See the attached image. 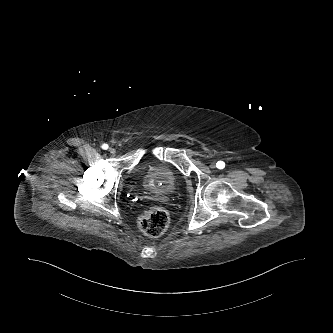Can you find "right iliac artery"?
<instances>
[{
	"label": "right iliac artery",
	"instance_id": "obj_1",
	"mask_svg": "<svg viewBox=\"0 0 333 333\" xmlns=\"http://www.w3.org/2000/svg\"><path fill=\"white\" fill-rule=\"evenodd\" d=\"M101 147H102V149L107 150L108 149V144L104 143Z\"/></svg>",
	"mask_w": 333,
	"mask_h": 333
}]
</instances>
